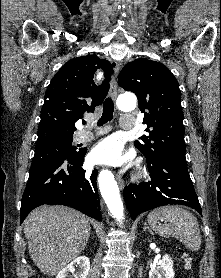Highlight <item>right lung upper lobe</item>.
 Returning <instances> with one entry per match:
<instances>
[{"instance_id": "1", "label": "right lung upper lobe", "mask_w": 221, "mask_h": 278, "mask_svg": "<svg viewBox=\"0 0 221 278\" xmlns=\"http://www.w3.org/2000/svg\"><path fill=\"white\" fill-rule=\"evenodd\" d=\"M103 69L106 79L95 85L93 76ZM110 62L95 55L69 60L53 77L44 97L36 144L73 136L75 122L94 111L106 97L111 76Z\"/></svg>"}]
</instances>
